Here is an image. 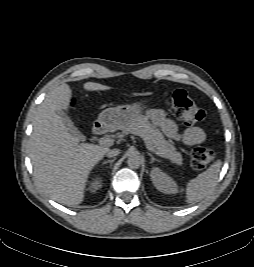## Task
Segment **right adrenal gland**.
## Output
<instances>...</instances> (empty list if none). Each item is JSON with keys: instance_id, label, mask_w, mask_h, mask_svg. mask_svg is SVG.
<instances>
[{"instance_id": "2a0ac1e0", "label": "right adrenal gland", "mask_w": 254, "mask_h": 267, "mask_svg": "<svg viewBox=\"0 0 254 267\" xmlns=\"http://www.w3.org/2000/svg\"><path fill=\"white\" fill-rule=\"evenodd\" d=\"M115 160H116V158H113V159H111V160L104 161V162H103V165H104V164H108V163L112 164Z\"/></svg>"}]
</instances>
